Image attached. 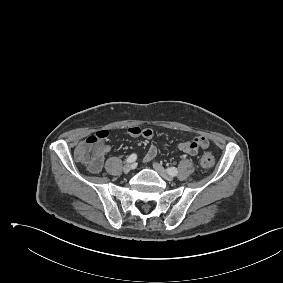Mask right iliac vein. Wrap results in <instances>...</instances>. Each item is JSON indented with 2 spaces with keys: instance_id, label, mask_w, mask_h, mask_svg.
Here are the masks:
<instances>
[{
  "instance_id": "right-iliac-vein-1",
  "label": "right iliac vein",
  "mask_w": 283,
  "mask_h": 283,
  "mask_svg": "<svg viewBox=\"0 0 283 283\" xmlns=\"http://www.w3.org/2000/svg\"><path fill=\"white\" fill-rule=\"evenodd\" d=\"M131 170H132V164H131V163H127V164L124 165V167H123L124 173L127 174V173H129Z\"/></svg>"
}]
</instances>
